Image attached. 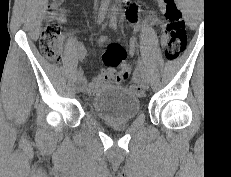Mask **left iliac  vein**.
Instances as JSON below:
<instances>
[{"instance_id": "left-iliac-vein-1", "label": "left iliac vein", "mask_w": 231, "mask_h": 177, "mask_svg": "<svg viewBox=\"0 0 231 177\" xmlns=\"http://www.w3.org/2000/svg\"><path fill=\"white\" fill-rule=\"evenodd\" d=\"M140 83L144 89L149 88V80H148V77L146 75H143V74L141 75Z\"/></svg>"}]
</instances>
